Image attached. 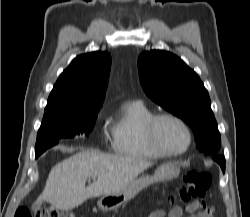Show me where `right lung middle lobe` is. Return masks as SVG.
Here are the masks:
<instances>
[{
  "instance_id": "right-lung-middle-lobe-1",
  "label": "right lung middle lobe",
  "mask_w": 250,
  "mask_h": 217,
  "mask_svg": "<svg viewBox=\"0 0 250 217\" xmlns=\"http://www.w3.org/2000/svg\"><path fill=\"white\" fill-rule=\"evenodd\" d=\"M98 111L99 109H92L43 117L37 134L35 157L38 158L46 149L58 144L61 138L88 136L94 127Z\"/></svg>"
}]
</instances>
